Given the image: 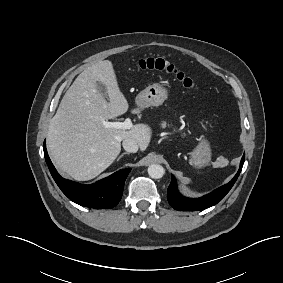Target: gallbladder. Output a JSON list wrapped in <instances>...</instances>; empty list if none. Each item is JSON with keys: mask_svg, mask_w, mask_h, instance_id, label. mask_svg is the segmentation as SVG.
Listing matches in <instances>:
<instances>
[{"mask_svg": "<svg viewBox=\"0 0 283 283\" xmlns=\"http://www.w3.org/2000/svg\"><path fill=\"white\" fill-rule=\"evenodd\" d=\"M97 89L105 98H108L107 88L104 84L98 82L97 83Z\"/></svg>", "mask_w": 283, "mask_h": 283, "instance_id": "gallbladder-1", "label": "gallbladder"}]
</instances>
